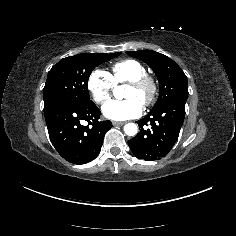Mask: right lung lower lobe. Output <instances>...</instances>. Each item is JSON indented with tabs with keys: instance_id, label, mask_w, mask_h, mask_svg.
<instances>
[{
	"instance_id": "obj_1",
	"label": "right lung lower lobe",
	"mask_w": 236,
	"mask_h": 236,
	"mask_svg": "<svg viewBox=\"0 0 236 236\" xmlns=\"http://www.w3.org/2000/svg\"><path fill=\"white\" fill-rule=\"evenodd\" d=\"M50 140L57 152L68 162L84 164L100 152L105 133L112 127L108 120L99 121L101 112L91 102L76 105L57 101L44 106ZM87 125H84L86 124Z\"/></svg>"
}]
</instances>
